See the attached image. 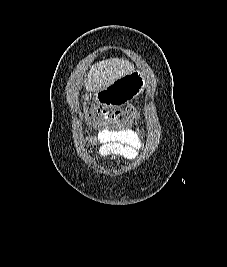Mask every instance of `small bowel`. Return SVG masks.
<instances>
[{"label":"small bowel","mask_w":227,"mask_h":267,"mask_svg":"<svg viewBox=\"0 0 227 267\" xmlns=\"http://www.w3.org/2000/svg\"><path fill=\"white\" fill-rule=\"evenodd\" d=\"M140 132L125 130H100L91 139L93 144L99 143L98 153L100 156L123 157L133 159L137 156L138 150L142 146Z\"/></svg>","instance_id":"1"}]
</instances>
